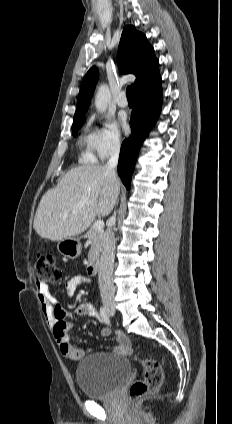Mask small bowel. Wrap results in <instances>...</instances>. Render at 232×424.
Returning <instances> with one entry per match:
<instances>
[{"label": "small bowel", "mask_w": 232, "mask_h": 424, "mask_svg": "<svg viewBox=\"0 0 232 424\" xmlns=\"http://www.w3.org/2000/svg\"><path fill=\"white\" fill-rule=\"evenodd\" d=\"M89 279L76 275L70 278L65 284V291L69 297L75 295L77 289L82 284L89 283ZM36 292L41 310L47 324L52 332L53 338L58 344L60 353L68 360L76 361L83 358L88 350L76 347L71 343L69 330L73 326L72 320L78 317H99L94 305L91 302L78 303L72 310H67L55 304V298L49 287L41 282L36 283ZM111 334L109 327L101 330V336L108 337ZM131 351L130 341L122 332L116 334V345L113 352L117 354H129Z\"/></svg>", "instance_id": "c3829d8e"}]
</instances>
